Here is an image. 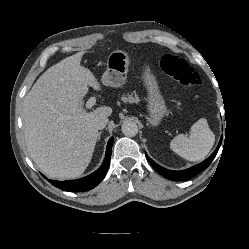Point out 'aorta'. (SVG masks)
<instances>
[{
    "label": "aorta",
    "instance_id": "762f6f07",
    "mask_svg": "<svg viewBox=\"0 0 249 249\" xmlns=\"http://www.w3.org/2000/svg\"><path fill=\"white\" fill-rule=\"evenodd\" d=\"M122 133L127 137H134L138 134V126L133 121H125L121 127Z\"/></svg>",
    "mask_w": 249,
    "mask_h": 249
}]
</instances>
